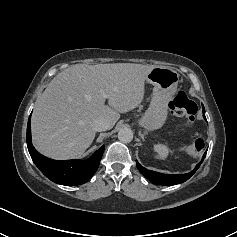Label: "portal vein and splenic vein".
I'll return each instance as SVG.
<instances>
[{"mask_svg": "<svg viewBox=\"0 0 237 237\" xmlns=\"http://www.w3.org/2000/svg\"><path fill=\"white\" fill-rule=\"evenodd\" d=\"M102 96L104 99L106 98L105 92L103 90H102Z\"/></svg>", "mask_w": 237, "mask_h": 237, "instance_id": "obj_1", "label": "portal vein and splenic vein"}]
</instances>
